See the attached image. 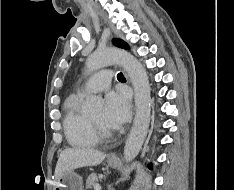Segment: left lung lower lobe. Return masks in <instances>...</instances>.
Instances as JSON below:
<instances>
[{
    "mask_svg": "<svg viewBox=\"0 0 234 190\" xmlns=\"http://www.w3.org/2000/svg\"><path fill=\"white\" fill-rule=\"evenodd\" d=\"M148 167H149L150 169H152V165H151V164H149Z\"/></svg>",
    "mask_w": 234,
    "mask_h": 190,
    "instance_id": "1",
    "label": "left lung lower lobe"
}]
</instances>
